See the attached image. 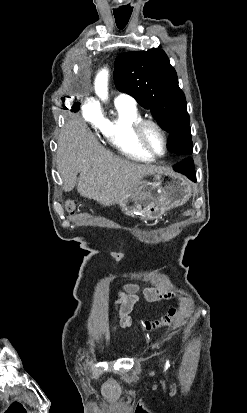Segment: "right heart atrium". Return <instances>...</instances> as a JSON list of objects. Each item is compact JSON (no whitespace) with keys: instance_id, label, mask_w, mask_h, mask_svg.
Segmentation results:
<instances>
[{"instance_id":"d8ad5b80","label":"right heart atrium","mask_w":247,"mask_h":413,"mask_svg":"<svg viewBox=\"0 0 247 413\" xmlns=\"http://www.w3.org/2000/svg\"><path fill=\"white\" fill-rule=\"evenodd\" d=\"M84 110L82 112L83 119H88L90 124L95 128L104 126L105 112L101 110L103 103L101 100H85L83 103Z\"/></svg>"}]
</instances>
